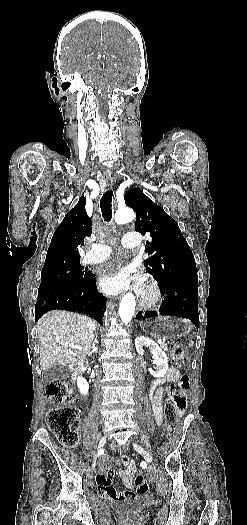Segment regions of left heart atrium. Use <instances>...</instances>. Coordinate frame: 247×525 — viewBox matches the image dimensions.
<instances>
[{
	"label": "left heart atrium",
	"instance_id": "1",
	"mask_svg": "<svg viewBox=\"0 0 247 525\" xmlns=\"http://www.w3.org/2000/svg\"><path fill=\"white\" fill-rule=\"evenodd\" d=\"M135 260L133 255L120 252L117 253L110 261L102 264L101 272H96V277L100 286L107 292L117 293L128 288H140L139 279L134 274L136 266L133 270H126L124 264L127 261Z\"/></svg>",
	"mask_w": 247,
	"mask_h": 525
}]
</instances>
